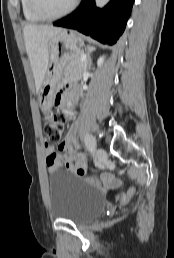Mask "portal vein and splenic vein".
<instances>
[{
	"label": "portal vein and splenic vein",
	"mask_w": 174,
	"mask_h": 258,
	"mask_svg": "<svg viewBox=\"0 0 174 258\" xmlns=\"http://www.w3.org/2000/svg\"><path fill=\"white\" fill-rule=\"evenodd\" d=\"M84 61H85V57L82 56V57H81V62H84Z\"/></svg>",
	"instance_id": "1"
}]
</instances>
